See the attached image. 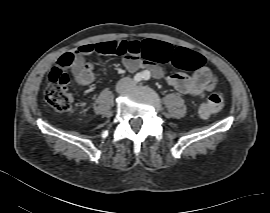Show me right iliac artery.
I'll return each instance as SVG.
<instances>
[{
    "label": "right iliac artery",
    "mask_w": 270,
    "mask_h": 213,
    "mask_svg": "<svg viewBox=\"0 0 270 213\" xmlns=\"http://www.w3.org/2000/svg\"><path fill=\"white\" fill-rule=\"evenodd\" d=\"M145 73H146V72L136 74V75L134 76V81H135V82H140L141 80H143Z\"/></svg>",
    "instance_id": "right-iliac-artery-1"
}]
</instances>
